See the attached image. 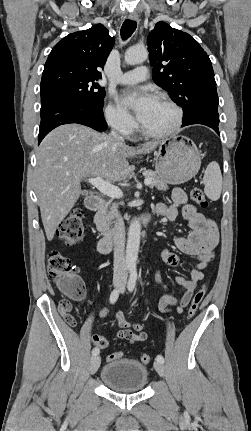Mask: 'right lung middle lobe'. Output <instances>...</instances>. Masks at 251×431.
<instances>
[{"label": "right lung middle lobe", "mask_w": 251, "mask_h": 431, "mask_svg": "<svg viewBox=\"0 0 251 431\" xmlns=\"http://www.w3.org/2000/svg\"><path fill=\"white\" fill-rule=\"evenodd\" d=\"M96 80V77L68 66L45 68L40 85L41 103L53 99H66L101 110L105 90Z\"/></svg>", "instance_id": "dd1d6c3e"}]
</instances>
